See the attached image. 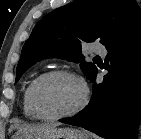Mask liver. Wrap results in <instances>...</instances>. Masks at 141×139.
<instances>
[{
	"instance_id": "obj_1",
	"label": "liver",
	"mask_w": 141,
	"mask_h": 139,
	"mask_svg": "<svg viewBox=\"0 0 141 139\" xmlns=\"http://www.w3.org/2000/svg\"><path fill=\"white\" fill-rule=\"evenodd\" d=\"M59 123H44V124H25V125H16L13 128L18 130V134L27 133L29 131L38 129V128H47V127H56Z\"/></svg>"
}]
</instances>
